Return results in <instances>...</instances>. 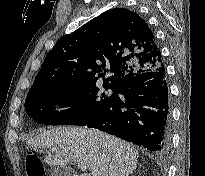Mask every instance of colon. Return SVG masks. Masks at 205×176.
<instances>
[{"mask_svg":"<svg viewBox=\"0 0 205 176\" xmlns=\"http://www.w3.org/2000/svg\"><path fill=\"white\" fill-rule=\"evenodd\" d=\"M24 164L27 176H46L44 164L41 158L35 153H25Z\"/></svg>","mask_w":205,"mask_h":176,"instance_id":"5ec220e1","label":"colon"}]
</instances>
